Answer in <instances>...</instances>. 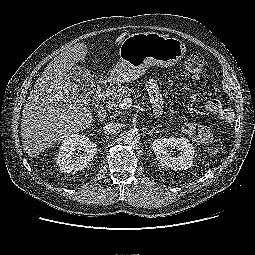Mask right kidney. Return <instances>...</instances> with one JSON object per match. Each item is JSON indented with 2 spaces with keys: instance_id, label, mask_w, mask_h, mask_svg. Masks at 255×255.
I'll return each instance as SVG.
<instances>
[{
  "instance_id": "right-kidney-1",
  "label": "right kidney",
  "mask_w": 255,
  "mask_h": 255,
  "mask_svg": "<svg viewBox=\"0 0 255 255\" xmlns=\"http://www.w3.org/2000/svg\"><path fill=\"white\" fill-rule=\"evenodd\" d=\"M96 152V144L87 136L71 134L62 141L56 163L62 172L75 173L86 168Z\"/></svg>"
}]
</instances>
